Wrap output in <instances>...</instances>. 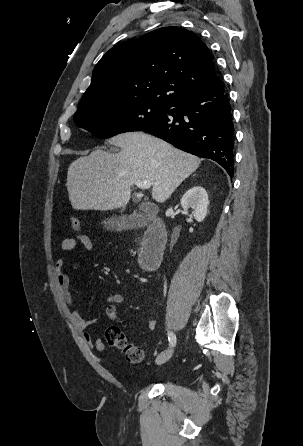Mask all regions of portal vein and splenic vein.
<instances>
[{
    "label": "portal vein and splenic vein",
    "instance_id": "portal-vein-and-splenic-vein-1",
    "mask_svg": "<svg viewBox=\"0 0 303 446\" xmlns=\"http://www.w3.org/2000/svg\"><path fill=\"white\" fill-rule=\"evenodd\" d=\"M136 186H138L140 189H149L152 186L151 181L149 180H143L135 183Z\"/></svg>",
    "mask_w": 303,
    "mask_h": 446
}]
</instances>
